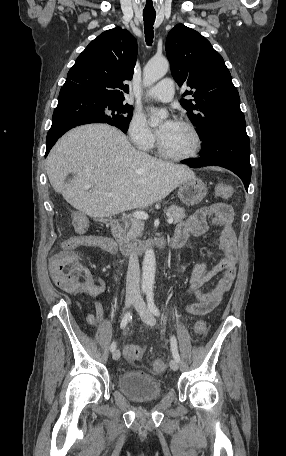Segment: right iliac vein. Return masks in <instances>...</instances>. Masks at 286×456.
Here are the masks:
<instances>
[{"label":"right iliac vein","instance_id":"obj_1","mask_svg":"<svg viewBox=\"0 0 286 456\" xmlns=\"http://www.w3.org/2000/svg\"><path fill=\"white\" fill-rule=\"evenodd\" d=\"M137 301V298L133 295H130V296H127L126 299H125V308L126 309H129L133 304H135ZM120 351L119 350H115L113 352V359L114 360H118L120 358Z\"/></svg>","mask_w":286,"mask_h":456}]
</instances>
